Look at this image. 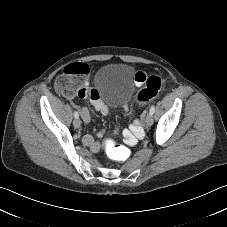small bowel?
I'll use <instances>...</instances> for the list:
<instances>
[{
  "instance_id": "obj_1",
  "label": "small bowel",
  "mask_w": 227,
  "mask_h": 227,
  "mask_svg": "<svg viewBox=\"0 0 227 227\" xmlns=\"http://www.w3.org/2000/svg\"><path fill=\"white\" fill-rule=\"evenodd\" d=\"M77 70L79 72V74L83 75L86 77L87 81L86 83H88V80L90 78V69L86 64H78L77 65ZM136 85L139 87V84L136 83ZM84 93H85V97L86 98L88 95H91V93L87 90V89H83ZM67 96V95H66ZM68 99H73L72 96H67ZM94 106L96 108L97 111H99L102 115H106L107 114V108L106 106L100 102L99 100H94ZM80 115L81 118L83 120V122L87 123L90 121L91 118V113L87 108H82L80 110ZM131 130L133 131V133L138 136L140 133V128H138L137 126H132ZM105 135L104 131H100L98 133V138H103ZM125 135H129L128 133H125ZM84 143L90 148L91 151L93 152H98L101 150V143L96 140L93 136L87 135L83 138Z\"/></svg>"
}]
</instances>
